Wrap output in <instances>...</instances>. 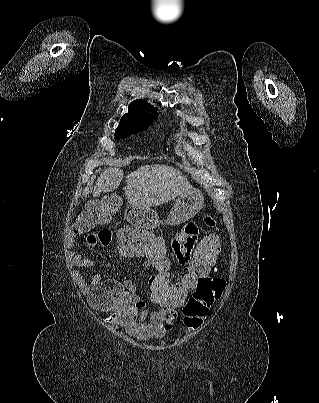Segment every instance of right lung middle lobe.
I'll use <instances>...</instances> for the list:
<instances>
[{"instance_id":"1","label":"right lung middle lobe","mask_w":319,"mask_h":403,"mask_svg":"<svg viewBox=\"0 0 319 403\" xmlns=\"http://www.w3.org/2000/svg\"><path fill=\"white\" fill-rule=\"evenodd\" d=\"M157 116L144 121H133L125 118H121L119 126L115 130V139L124 138L130 136L133 133L143 131Z\"/></svg>"}]
</instances>
